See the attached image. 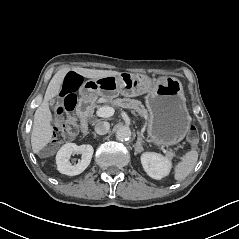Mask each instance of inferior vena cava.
<instances>
[{"mask_svg":"<svg viewBox=\"0 0 239 239\" xmlns=\"http://www.w3.org/2000/svg\"><path fill=\"white\" fill-rule=\"evenodd\" d=\"M109 129H110V124L108 122H105V121L98 122L95 125V132L99 135L107 134Z\"/></svg>","mask_w":239,"mask_h":239,"instance_id":"inferior-vena-cava-1","label":"inferior vena cava"}]
</instances>
